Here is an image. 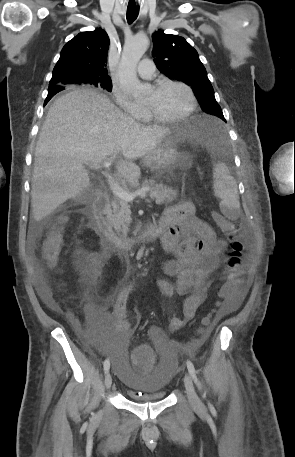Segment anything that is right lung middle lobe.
I'll list each match as a JSON object with an SVG mask.
<instances>
[{
    "mask_svg": "<svg viewBox=\"0 0 295 457\" xmlns=\"http://www.w3.org/2000/svg\"><path fill=\"white\" fill-rule=\"evenodd\" d=\"M88 84L100 86V87H102V88H104V89H106L108 91L112 90V82H111V80H106V81L94 80V81H91Z\"/></svg>",
    "mask_w": 295,
    "mask_h": 457,
    "instance_id": "1",
    "label": "right lung middle lobe"
}]
</instances>
